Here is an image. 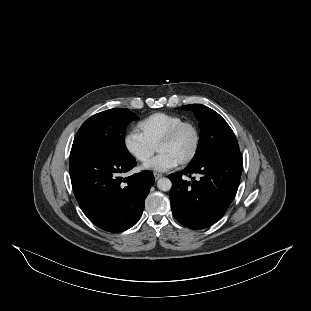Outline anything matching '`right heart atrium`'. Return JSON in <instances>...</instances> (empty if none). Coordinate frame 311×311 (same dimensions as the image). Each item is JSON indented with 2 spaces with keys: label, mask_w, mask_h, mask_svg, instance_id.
Here are the masks:
<instances>
[{
  "label": "right heart atrium",
  "mask_w": 311,
  "mask_h": 311,
  "mask_svg": "<svg viewBox=\"0 0 311 311\" xmlns=\"http://www.w3.org/2000/svg\"><path fill=\"white\" fill-rule=\"evenodd\" d=\"M123 146L127 154L137 163H146L155 153V147L148 143L140 131L128 130L123 137Z\"/></svg>",
  "instance_id": "right-heart-atrium-1"
}]
</instances>
